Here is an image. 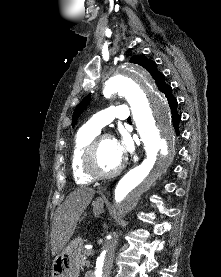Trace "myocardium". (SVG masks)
I'll use <instances>...</instances> for the list:
<instances>
[{"label":"myocardium","instance_id":"obj_1","mask_svg":"<svg viewBox=\"0 0 221 277\" xmlns=\"http://www.w3.org/2000/svg\"><path fill=\"white\" fill-rule=\"evenodd\" d=\"M104 140H114V138L108 134H102V135L96 136L87 147L82 159V170L85 173V175H87L92 180H102V179L113 178L118 174H120L125 167V160L122 159L120 164L111 172L103 173L96 169L95 159H96L97 151L101 142Z\"/></svg>","mask_w":221,"mask_h":277}]
</instances>
